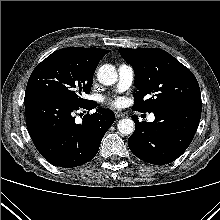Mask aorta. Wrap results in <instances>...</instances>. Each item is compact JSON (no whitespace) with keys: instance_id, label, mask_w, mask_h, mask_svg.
I'll return each instance as SVG.
<instances>
[{"instance_id":"762f6f07","label":"aorta","mask_w":220,"mask_h":220,"mask_svg":"<svg viewBox=\"0 0 220 220\" xmlns=\"http://www.w3.org/2000/svg\"><path fill=\"white\" fill-rule=\"evenodd\" d=\"M116 68L111 64L102 65L97 72V79L103 85H112L117 81ZM118 130L124 135H131L135 129V123L130 118L119 120L117 124Z\"/></svg>"}]
</instances>
